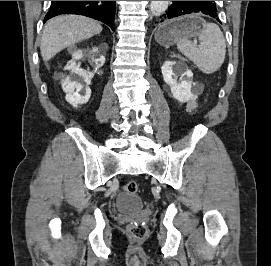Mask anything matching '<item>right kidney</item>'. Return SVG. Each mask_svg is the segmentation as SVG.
<instances>
[{
  "mask_svg": "<svg viewBox=\"0 0 271 266\" xmlns=\"http://www.w3.org/2000/svg\"><path fill=\"white\" fill-rule=\"evenodd\" d=\"M97 51L98 50L95 48L85 52L80 49L75 50L72 53L73 59L70 60L64 68L65 70H71V74L62 80V89L66 93V101L73 107L83 105L90 99V88L88 86L84 88V85L81 84V82L89 85L95 73V71L92 73L81 69L79 65H76V61L83 58L84 55H87L92 60V63L95 64V69L97 70L105 62V57L103 55H97Z\"/></svg>",
  "mask_w": 271,
  "mask_h": 266,
  "instance_id": "ca27d5eb",
  "label": "right kidney"
}]
</instances>
